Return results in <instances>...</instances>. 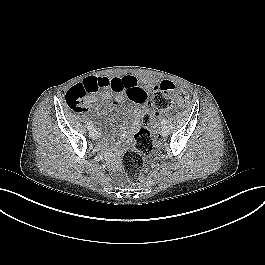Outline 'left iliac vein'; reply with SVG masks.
<instances>
[{"label":"left iliac vein","instance_id":"1","mask_svg":"<svg viewBox=\"0 0 265 265\" xmlns=\"http://www.w3.org/2000/svg\"><path fill=\"white\" fill-rule=\"evenodd\" d=\"M170 130L167 126H163L161 129V133L163 136H167L169 134Z\"/></svg>","mask_w":265,"mask_h":265}]
</instances>
